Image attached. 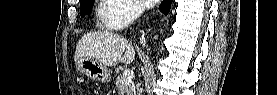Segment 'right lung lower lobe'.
Returning a JSON list of instances; mask_svg holds the SVG:
<instances>
[{"label": "right lung lower lobe", "mask_w": 277, "mask_h": 95, "mask_svg": "<svg viewBox=\"0 0 277 95\" xmlns=\"http://www.w3.org/2000/svg\"><path fill=\"white\" fill-rule=\"evenodd\" d=\"M172 0H163L160 5V11H162L165 14H168L170 11Z\"/></svg>", "instance_id": "obj_1"}]
</instances>
